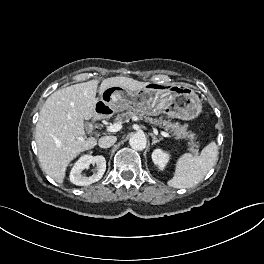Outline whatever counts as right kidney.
Returning <instances> with one entry per match:
<instances>
[{"instance_id":"obj_1","label":"right kidney","mask_w":264,"mask_h":264,"mask_svg":"<svg viewBox=\"0 0 264 264\" xmlns=\"http://www.w3.org/2000/svg\"><path fill=\"white\" fill-rule=\"evenodd\" d=\"M96 165V173L92 176L82 175L84 169H88L90 165ZM106 170V160L104 156H82L73 166L70 172V181L78 186H88L94 182L99 181Z\"/></svg>"}]
</instances>
